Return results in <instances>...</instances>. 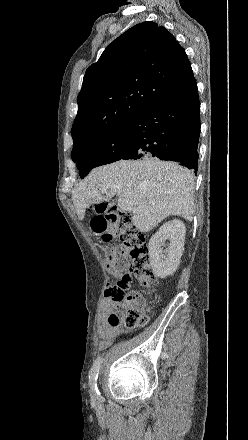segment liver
<instances>
[{
	"label": "liver",
	"instance_id": "obj_1",
	"mask_svg": "<svg viewBox=\"0 0 248 440\" xmlns=\"http://www.w3.org/2000/svg\"><path fill=\"white\" fill-rule=\"evenodd\" d=\"M114 195L132 202L136 209L132 222L140 232L152 230L170 215L193 219V173L174 162L120 160L93 169L72 192L79 220L84 219L89 205L108 201Z\"/></svg>",
	"mask_w": 248,
	"mask_h": 440
}]
</instances>
